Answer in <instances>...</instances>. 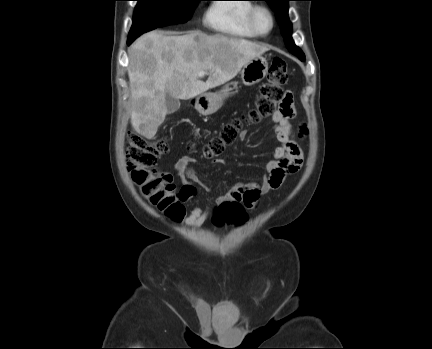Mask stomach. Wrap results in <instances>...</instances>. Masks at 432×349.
I'll use <instances>...</instances> for the list:
<instances>
[{"label":"stomach","instance_id":"stomach-1","mask_svg":"<svg viewBox=\"0 0 432 349\" xmlns=\"http://www.w3.org/2000/svg\"><path fill=\"white\" fill-rule=\"evenodd\" d=\"M268 72V62L262 56L255 57L241 70V79L244 85L251 86L259 83ZM238 91L236 82L226 84L220 92H205L195 99V109L202 115H211L217 112L224 100Z\"/></svg>","mask_w":432,"mask_h":349}]
</instances>
